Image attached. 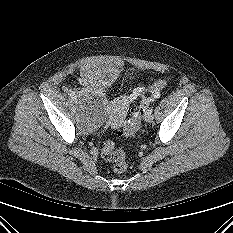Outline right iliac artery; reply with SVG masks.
<instances>
[{
	"instance_id": "obj_1",
	"label": "right iliac artery",
	"mask_w": 233,
	"mask_h": 233,
	"mask_svg": "<svg viewBox=\"0 0 233 233\" xmlns=\"http://www.w3.org/2000/svg\"><path fill=\"white\" fill-rule=\"evenodd\" d=\"M69 95H70V97H71L72 99H76V94H75V92L71 91Z\"/></svg>"
}]
</instances>
